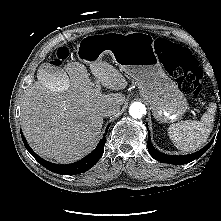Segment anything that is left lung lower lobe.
<instances>
[{
  "mask_svg": "<svg viewBox=\"0 0 221 221\" xmlns=\"http://www.w3.org/2000/svg\"><path fill=\"white\" fill-rule=\"evenodd\" d=\"M213 140L209 144H207L203 149H201L200 151L196 153L189 154V155L172 156V155L163 154L154 148V146L151 143L150 131L148 130V151L154 159L160 162L174 164V165H182V164L189 163L199 158L201 155H203L209 149Z\"/></svg>",
  "mask_w": 221,
  "mask_h": 221,
  "instance_id": "0a47b994",
  "label": "left lung lower lobe"
}]
</instances>
